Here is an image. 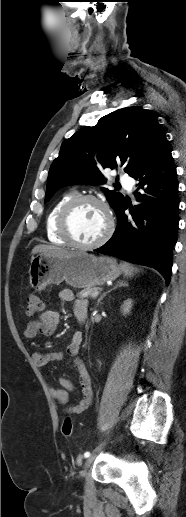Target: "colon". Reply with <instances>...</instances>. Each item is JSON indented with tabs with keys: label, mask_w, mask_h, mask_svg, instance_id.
Segmentation results:
<instances>
[{
	"label": "colon",
	"mask_w": 186,
	"mask_h": 517,
	"mask_svg": "<svg viewBox=\"0 0 186 517\" xmlns=\"http://www.w3.org/2000/svg\"><path fill=\"white\" fill-rule=\"evenodd\" d=\"M44 309L43 302L37 294H30L26 300V312L32 316L41 313ZM73 433V422L70 417H66L62 423V434L69 438Z\"/></svg>",
	"instance_id": "colon-1"
}]
</instances>
